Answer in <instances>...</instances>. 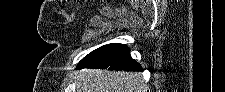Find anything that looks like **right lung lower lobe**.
Segmentation results:
<instances>
[{"instance_id":"right-lung-lower-lobe-1","label":"right lung lower lobe","mask_w":225,"mask_h":92,"mask_svg":"<svg viewBox=\"0 0 225 92\" xmlns=\"http://www.w3.org/2000/svg\"><path fill=\"white\" fill-rule=\"evenodd\" d=\"M85 68L120 71H143L141 65L131 58L130 49L128 47H124L109 53L108 55L88 64Z\"/></svg>"}]
</instances>
